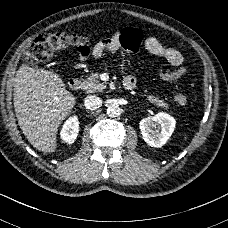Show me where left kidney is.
Instances as JSON below:
<instances>
[{"label": "left kidney", "instance_id": "5707ae66", "mask_svg": "<svg viewBox=\"0 0 228 228\" xmlns=\"http://www.w3.org/2000/svg\"><path fill=\"white\" fill-rule=\"evenodd\" d=\"M174 128L175 120L165 113H158L140 121V130L144 141L154 148L162 147L173 133Z\"/></svg>", "mask_w": 228, "mask_h": 228}]
</instances>
